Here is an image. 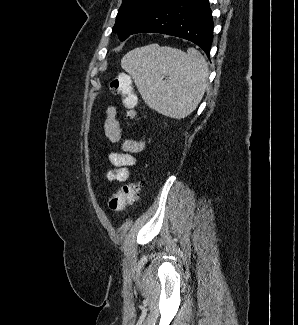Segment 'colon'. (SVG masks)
I'll return each instance as SVG.
<instances>
[{"label": "colon", "instance_id": "obj_1", "mask_svg": "<svg viewBox=\"0 0 298 325\" xmlns=\"http://www.w3.org/2000/svg\"><path fill=\"white\" fill-rule=\"evenodd\" d=\"M113 94L121 97V102L127 110V117L136 116L138 98L134 92L130 76L126 73H118L110 83ZM142 182L140 180L125 183L108 201V208L112 212H122L133 204L139 197Z\"/></svg>", "mask_w": 298, "mask_h": 325}]
</instances>
